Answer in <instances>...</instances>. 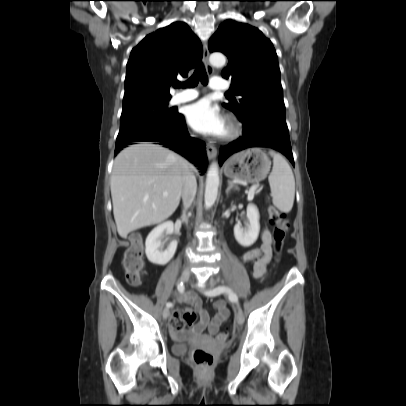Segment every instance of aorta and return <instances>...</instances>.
Masks as SVG:
<instances>
[{
    "label": "aorta",
    "instance_id": "762f6f07",
    "mask_svg": "<svg viewBox=\"0 0 406 406\" xmlns=\"http://www.w3.org/2000/svg\"><path fill=\"white\" fill-rule=\"evenodd\" d=\"M210 63L215 67H223L226 58L222 53H213L210 55ZM219 187V173L217 163H213L207 173L204 203L206 208L213 206L217 199Z\"/></svg>",
    "mask_w": 406,
    "mask_h": 406
}]
</instances>
